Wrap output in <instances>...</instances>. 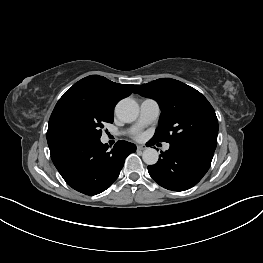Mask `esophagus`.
<instances>
[{
    "label": "esophagus",
    "mask_w": 263,
    "mask_h": 263,
    "mask_svg": "<svg viewBox=\"0 0 263 263\" xmlns=\"http://www.w3.org/2000/svg\"><path fill=\"white\" fill-rule=\"evenodd\" d=\"M145 149H147V147L145 145H138L137 146V150L143 151Z\"/></svg>",
    "instance_id": "obj_1"
}]
</instances>
